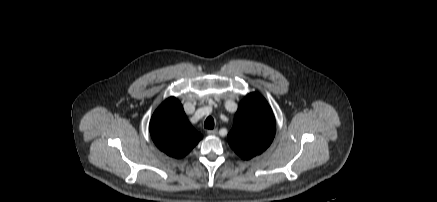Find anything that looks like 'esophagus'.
<instances>
[{"label": "esophagus", "instance_id": "1", "mask_svg": "<svg viewBox=\"0 0 437 202\" xmlns=\"http://www.w3.org/2000/svg\"><path fill=\"white\" fill-rule=\"evenodd\" d=\"M217 133H218L217 129H213V130H208L207 131V134L210 135V136H215V135H217Z\"/></svg>", "mask_w": 437, "mask_h": 202}]
</instances>
